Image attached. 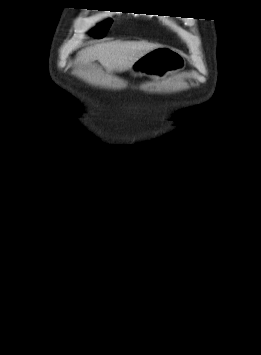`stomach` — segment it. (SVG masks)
<instances>
[{"instance_id":"obj_1","label":"stomach","mask_w":261,"mask_h":355,"mask_svg":"<svg viewBox=\"0 0 261 355\" xmlns=\"http://www.w3.org/2000/svg\"><path fill=\"white\" fill-rule=\"evenodd\" d=\"M184 57L175 49L159 46L140 57L131 70L136 75L161 77L185 68Z\"/></svg>"}]
</instances>
